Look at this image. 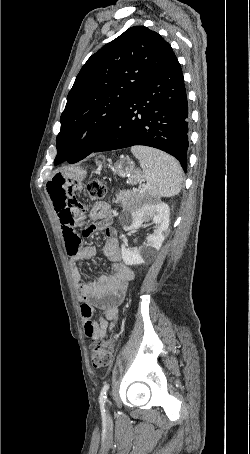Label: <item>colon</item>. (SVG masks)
<instances>
[{
	"label": "colon",
	"mask_w": 250,
	"mask_h": 454,
	"mask_svg": "<svg viewBox=\"0 0 250 454\" xmlns=\"http://www.w3.org/2000/svg\"><path fill=\"white\" fill-rule=\"evenodd\" d=\"M88 197L91 200L102 199L106 194V185L100 179H93L86 186ZM116 336L108 340H98L91 344V362L95 368H104L111 364Z\"/></svg>",
	"instance_id": "1"
}]
</instances>
